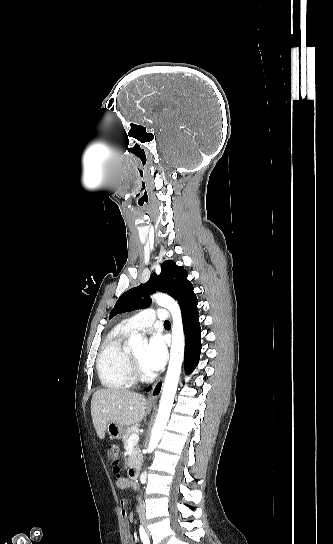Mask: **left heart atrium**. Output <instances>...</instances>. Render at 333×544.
I'll use <instances>...</instances> for the list:
<instances>
[{
    "label": "left heart atrium",
    "mask_w": 333,
    "mask_h": 544,
    "mask_svg": "<svg viewBox=\"0 0 333 544\" xmlns=\"http://www.w3.org/2000/svg\"><path fill=\"white\" fill-rule=\"evenodd\" d=\"M167 359V349L164 338L154 334L145 349L142 357V364L149 372H156L163 368Z\"/></svg>",
    "instance_id": "obj_1"
}]
</instances>
